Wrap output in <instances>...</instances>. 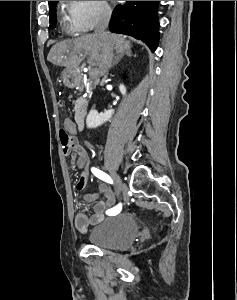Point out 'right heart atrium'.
I'll use <instances>...</instances> for the list:
<instances>
[{"mask_svg": "<svg viewBox=\"0 0 237 300\" xmlns=\"http://www.w3.org/2000/svg\"><path fill=\"white\" fill-rule=\"evenodd\" d=\"M64 12L68 28L75 34H84L105 25L112 17L107 1H64Z\"/></svg>", "mask_w": 237, "mask_h": 300, "instance_id": "1", "label": "right heart atrium"}]
</instances>
